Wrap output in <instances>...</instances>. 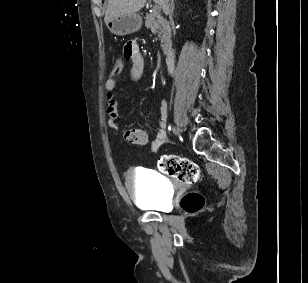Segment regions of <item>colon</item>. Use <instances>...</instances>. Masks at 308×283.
Segmentation results:
<instances>
[{"mask_svg": "<svg viewBox=\"0 0 308 283\" xmlns=\"http://www.w3.org/2000/svg\"><path fill=\"white\" fill-rule=\"evenodd\" d=\"M122 70L123 61L116 59L113 63L112 73L117 75ZM158 166L163 173L187 184L197 183L202 177L201 171L196 163L179 156L164 155L160 157ZM181 205L189 212H196L202 207L203 200L197 193H189L183 197Z\"/></svg>", "mask_w": 308, "mask_h": 283, "instance_id": "1", "label": "colon"}]
</instances>
